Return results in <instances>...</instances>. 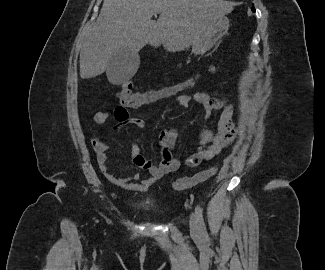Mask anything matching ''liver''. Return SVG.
Masks as SVG:
<instances>
[{
	"label": "liver",
	"instance_id": "1",
	"mask_svg": "<svg viewBox=\"0 0 325 270\" xmlns=\"http://www.w3.org/2000/svg\"><path fill=\"white\" fill-rule=\"evenodd\" d=\"M232 10L224 0H104L81 47L80 76L88 79L107 72L110 57L123 48L137 53L147 44H163L169 52L182 51L211 20ZM156 13L160 17L153 21ZM108 79L119 85L130 78Z\"/></svg>",
	"mask_w": 325,
	"mask_h": 270
}]
</instances>
